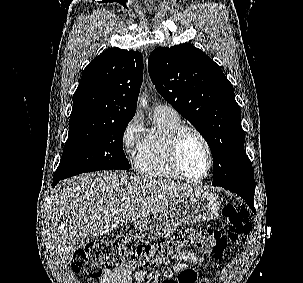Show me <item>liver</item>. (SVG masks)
Returning a JSON list of instances; mask_svg holds the SVG:
<instances>
[{
	"label": "liver",
	"mask_w": 303,
	"mask_h": 283,
	"mask_svg": "<svg viewBox=\"0 0 303 283\" xmlns=\"http://www.w3.org/2000/svg\"><path fill=\"white\" fill-rule=\"evenodd\" d=\"M200 190L196 185L121 171L91 172L65 180L54 190L50 213L59 261L63 266L72 261L80 237L102 235L144 219L176 198Z\"/></svg>",
	"instance_id": "liver-1"
}]
</instances>
